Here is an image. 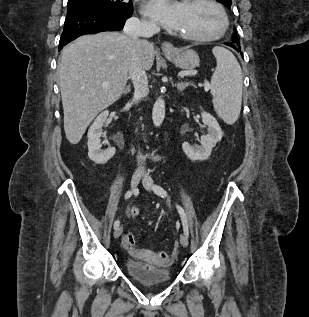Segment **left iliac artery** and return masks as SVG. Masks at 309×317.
<instances>
[{"instance_id":"obj_1","label":"left iliac artery","mask_w":309,"mask_h":317,"mask_svg":"<svg viewBox=\"0 0 309 317\" xmlns=\"http://www.w3.org/2000/svg\"><path fill=\"white\" fill-rule=\"evenodd\" d=\"M153 190L157 195H159L163 198H166L168 196L166 190L159 185L153 186ZM176 208H177V210L180 214L181 220H182L184 234L188 237L189 236V229H188V222H187L186 214L180 205L176 204Z\"/></svg>"}]
</instances>
